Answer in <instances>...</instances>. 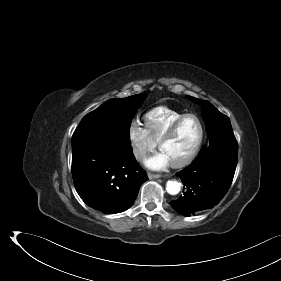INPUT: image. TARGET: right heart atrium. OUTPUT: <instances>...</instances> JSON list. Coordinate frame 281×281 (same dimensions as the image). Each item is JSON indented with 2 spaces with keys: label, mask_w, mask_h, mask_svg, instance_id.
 <instances>
[{
  "label": "right heart atrium",
  "mask_w": 281,
  "mask_h": 281,
  "mask_svg": "<svg viewBox=\"0 0 281 281\" xmlns=\"http://www.w3.org/2000/svg\"><path fill=\"white\" fill-rule=\"evenodd\" d=\"M128 136L132 153L139 161L143 160L157 145V142L152 139L146 128L136 121L131 123Z\"/></svg>",
  "instance_id": "1"
}]
</instances>
